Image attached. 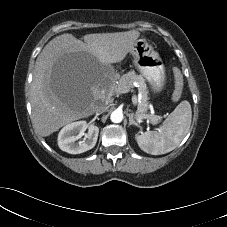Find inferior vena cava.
Masks as SVG:
<instances>
[{"label":"inferior vena cava","mask_w":227,"mask_h":227,"mask_svg":"<svg viewBox=\"0 0 227 227\" xmlns=\"http://www.w3.org/2000/svg\"><path fill=\"white\" fill-rule=\"evenodd\" d=\"M94 109H95L96 114H101L107 110V106L104 103L103 104L100 103V104H96Z\"/></svg>","instance_id":"1"}]
</instances>
